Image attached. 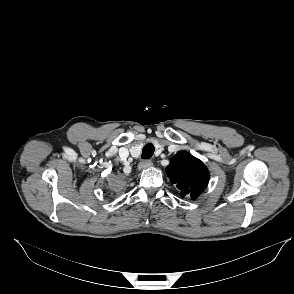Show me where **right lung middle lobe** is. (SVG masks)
Segmentation results:
<instances>
[{
	"mask_svg": "<svg viewBox=\"0 0 294 294\" xmlns=\"http://www.w3.org/2000/svg\"><path fill=\"white\" fill-rule=\"evenodd\" d=\"M107 188L115 195L121 188V183L115 178L110 179L109 182H107Z\"/></svg>",
	"mask_w": 294,
	"mask_h": 294,
	"instance_id": "obj_1",
	"label": "right lung middle lobe"
}]
</instances>
